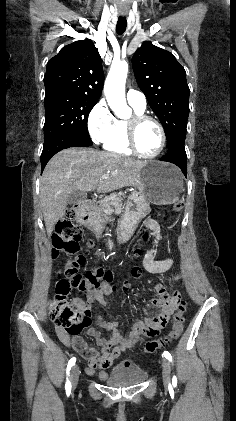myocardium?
<instances>
[{"label": "myocardium", "mask_w": 236, "mask_h": 421, "mask_svg": "<svg viewBox=\"0 0 236 421\" xmlns=\"http://www.w3.org/2000/svg\"><path fill=\"white\" fill-rule=\"evenodd\" d=\"M142 121L152 122L159 131L160 145H159L158 150L154 154H151V155H146V154L141 153L136 145L135 128L137 124H139ZM124 132H125L126 141L130 150L138 157H141L144 159H154L163 152L166 146V132H165L164 127L157 119H155L152 116L146 115L144 113L135 112L129 119H127L124 124Z\"/></svg>", "instance_id": "1"}]
</instances>
